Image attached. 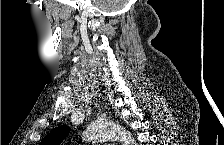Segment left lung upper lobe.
I'll return each instance as SVG.
<instances>
[{
	"label": "left lung upper lobe",
	"mask_w": 224,
	"mask_h": 145,
	"mask_svg": "<svg viewBox=\"0 0 224 145\" xmlns=\"http://www.w3.org/2000/svg\"><path fill=\"white\" fill-rule=\"evenodd\" d=\"M70 132V127L60 126L49 133L41 142V145H59Z\"/></svg>",
	"instance_id": "1"
}]
</instances>
